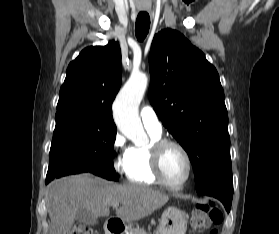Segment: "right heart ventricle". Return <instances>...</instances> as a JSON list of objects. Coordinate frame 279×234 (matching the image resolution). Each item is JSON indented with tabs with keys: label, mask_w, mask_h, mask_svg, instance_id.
I'll list each match as a JSON object with an SVG mask.
<instances>
[{
	"label": "right heart ventricle",
	"mask_w": 279,
	"mask_h": 234,
	"mask_svg": "<svg viewBox=\"0 0 279 234\" xmlns=\"http://www.w3.org/2000/svg\"><path fill=\"white\" fill-rule=\"evenodd\" d=\"M151 142L145 146H132L124 158L122 170L127 180L134 184L152 186L157 181L151 166V145L161 138V134L149 132Z\"/></svg>",
	"instance_id": "right-heart-ventricle-1"
}]
</instances>
